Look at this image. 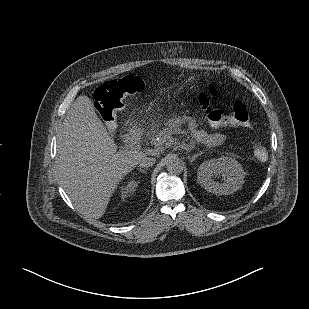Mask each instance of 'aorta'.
I'll use <instances>...</instances> for the list:
<instances>
[{
	"label": "aorta",
	"instance_id": "obj_1",
	"mask_svg": "<svg viewBox=\"0 0 309 309\" xmlns=\"http://www.w3.org/2000/svg\"><path fill=\"white\" fill-rule=\"evenodd\" d=\"M166 169L170 174L179 175L183 172V162L176 156H169L166 159Z\"/></svg>",
	"mask_w": 309,
	"mask_h": 309
}]
</instances>
